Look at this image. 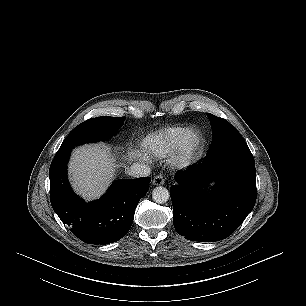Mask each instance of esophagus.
Instances as JSON below:
<instances>
[{
	"instance_id": "34e87169",
	"label": "esophagus",
	"mask_w": 306,
	"mask_h": 306,
	"mask_svg": "<svg viewBox=\"0 0 306 306\" xmlns=\"http://www.w3.org/2000/svg\"><path fill=\"white\" fill-rule=\"evenodd\" d=\"M153 184L154 185H163L164 184V178L162 175H157L153 179Z\"/></svg>"
}]
</instances>
